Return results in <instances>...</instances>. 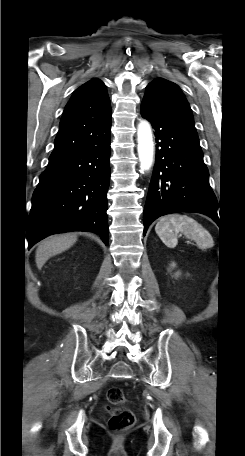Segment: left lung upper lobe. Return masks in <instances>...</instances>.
<instances>
[{
  "label": "left lung upper lobe",
  "instance_id": "obj_1",
  "mask_svg": "<svg viewBox=\"0 0 245 456\" xmlns=\"http://www.w3.org/2000/svg\"><path fill=\"white\" fill-rule=\"evenodd\" d=\"M163 114L178 117L194 125L188 101L180 88L163 78L153 80L146 87L143 101Z\"/></svg>",
  "mask_w": 245,
  "mask_h": 456
}]
</instances>
